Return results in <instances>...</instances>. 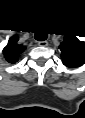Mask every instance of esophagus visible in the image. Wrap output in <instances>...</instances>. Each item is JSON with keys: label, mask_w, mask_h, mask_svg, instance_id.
Segmentation results:
<instances>
[{"label": "esophagus", "mask_w": 85, "mask_h": 118, "mask_svg": "<svg viewBox=\"0 0 85 118\" xmlns=\"http://www.w3.org/2000/svg\"><path fill=\"white\" fill-rule=\"evenodd\" d=\"M39 46H47L48 45V42L47 41H40L38 43Z\"/></svg>", "instance_id": "1"}]
</instances>
